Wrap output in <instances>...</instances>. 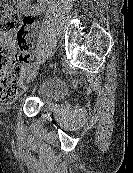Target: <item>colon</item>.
I'll use <instances>...</instances> for the list:
<instances>
[{"instance_id":"5ec220e1","label":"colon","mask_w":133,"mask_h":173,"mask_svg":"<svg viewBox=\"0 0 133 173\" xmlns=\"http://www.w3.org/2000/svg\"><path fill=\"white\" fill-rule=\"evenodd\" d=\"M32 27V19L21 18L0 4V102L13 101L20 90L19 63L32 48Z\"/></svg>"}]
</instances>
